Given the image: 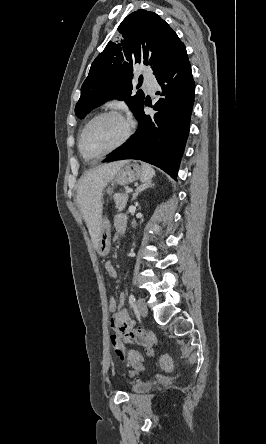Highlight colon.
<instances>
[{
  "mask_svg": "<svg viewBox=\"0 0 266 444\" xmlns=\"http://www.w3.org/2000/svg\"><path fill=\"white\" fill-rule=\"evenodd\" d=\"M107 308L110 313L112 314L116 313L117 303L113 296H110L107 299ZM127 357L131 365H142L141 362L143 360V357L138 352L130 351L127 354ZM157 364L159 367H161L164 370H170L174 367V360L171 356H163L157 360Z\"/></svg>",
  "mask_w": 266,
  "mask_h": 444,
  "instance_id": "1",
  "label": "colon"
}]
</instances>
